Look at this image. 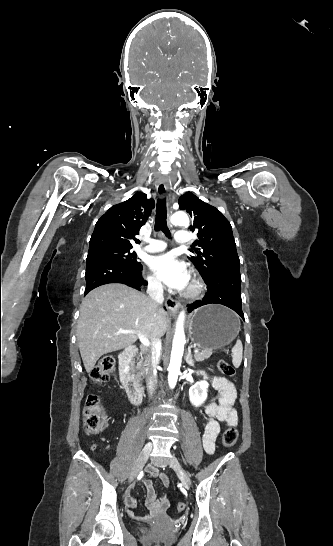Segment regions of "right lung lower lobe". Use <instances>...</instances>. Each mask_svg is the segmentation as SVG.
<instances>
[{
    "instance_id": "obj_1",
    "label": "right lung lower lobe",
    "mask_w": 333,
    "mask_h": 546,
    "mask_svg": "<svg viewBox=\"0 0 333 546\" xmlns=\"http://www.w3.org/2000/svg\"><path fill=\"white\" fill-rule=\"evenodd\" d=\"M142 265L132 266L103 256L87 259L85 295L92 289L109 283H122L137 290L147 282L142 278Z\"/></svg>"
}]
</instances>
